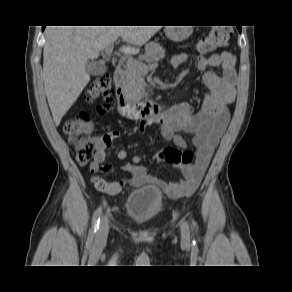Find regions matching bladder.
Segmentation results:
<instances>
[{
    "label": "bladder",
    "instance_id": "bladder-1",
    "mask_svg": "<svg viewBox=\"0 0 292 292\" xmlns=\"http://www.w3.org/2000/svg\"><path fill=\"white\" fill-rule=\"evenodd\" d=\"M161 209V192L153 186H142L131 192L124 207L125 214L139 225L154 219Z\"/></svg>",
    "mask_w": 292,
    "mask_h": 292
}]
</instances>
